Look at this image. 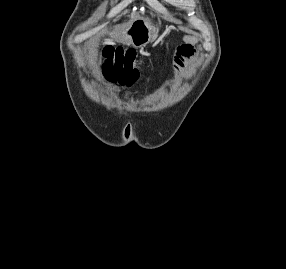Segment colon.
Segmentation results:
<instances>
[{
	"mask_svg": "<svg viewBox=\"0 0 286 269\" xmlns=\"http://www.w3.org/2000/svg\"><path fill=\"white\" fill-rule=\"evenodd\" d=\"M101 55L104 75L113 81L132 84L138 78V60L133 49L124 50L112 44L103 47Z\"/></svg>",
	"mask_w": 286,
	"mask_h": 269,
	"instance_id": "5ec220e1",
	"label": "colon"
}]
</instances>
